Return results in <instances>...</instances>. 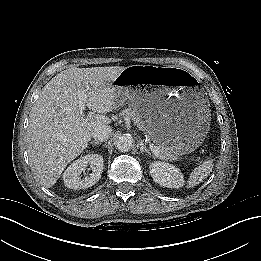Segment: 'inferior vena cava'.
<instances>
[{"label": "inferior vena cava", "mask_w": 261, "mask_h": 261, "mask_svg": "<svg viewBox=\"0 0 261 261\" xmlns=\"http://www.w3.org/2000/svg\"><path fill=\"white\" fill-rule=\"evenodd\" d=\"M111 133H112V129L110 126L102 125L95 128L92 135L95 141L104 142L109 139Z\"/></svg>", "instance_id": "1"}]
</instances>
